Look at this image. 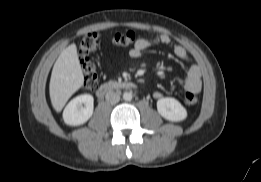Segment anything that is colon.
I'll return each instance as SVG.
<instances>
[{
  "label": "colon",
  "mask_w": 261,
  "mask_h": 182,
  "mask_svg": "<svg viewBox=\"0 0 261 182\" xmlns=\"http://www.w3.org/2000/svg\"><path fill=\"white\" fill-rule=\"evenodd\" d=\"M137 41V34L133 31L117 33L113 37V42L120 47H129ZM99 47V35L96 32L86 33L79 44L78 57L81 69L84 73V87L87 90H93L98 85V73L91 54ZM185 103L195 105L198 102L197 95L188 92L185 95Z\"/></svg>",
  "instance_id": "5ec220e1"
}]
</instances>
